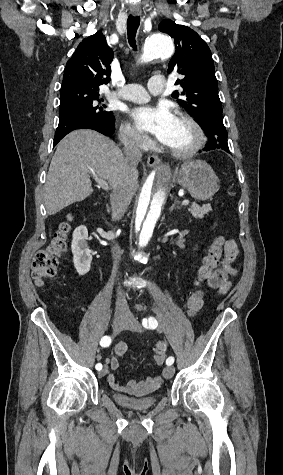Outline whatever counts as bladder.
Here are the masks:
<instances>
[{"instance_id": "obj_1", "label": "bladder", "mask_w": 283, "mask_h": 475, "mask_svg": "<svg viewBox=\"0 0 283 475\" xmlns=\"http://www.w3.org/2000/svg\"><path fill=\"white\" fill-rule=\"evenodd\" d=\"M113 401L123 407L125 410L147 411L156 406L158 396L129 397L121 393H114L111 397Z\"/></svg>"}]
</instances>
